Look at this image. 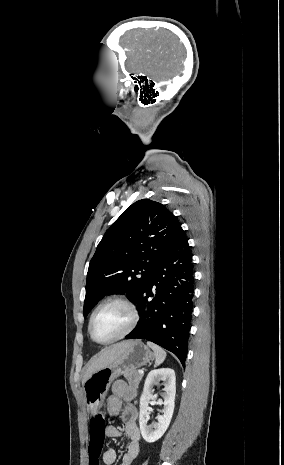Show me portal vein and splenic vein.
<instances>
[{"mask_svg": "<svg viewBox=\"0 0 284 465\" xmlns=\"http://www.w3.org/2000/svg\"><path fill=\"white\" fill-rule=\"evenodd\" d=\"M139 375H143L144 371H138Z\"/></svg>", "mask_w": 284, "mask_h": 465, "instance_id": "18ae733b", "label": "portal vein and splenic vein"}]
</instances>
